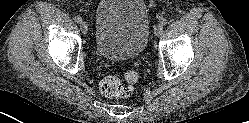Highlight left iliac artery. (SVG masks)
Here are the masks:
<instances>
[{
	"instance_id": "1",
	"label": "left iliac artery",
	"mask_w": 249,
	"mask_h": 123,
	"mask_svg": "<svg viewBox=\"0 0 249 123\" xmlns=\"http://www.w3.org/2000/svg\"><path fill=\"white\" fill-rule=\"evenodd\" d=\"M160 23L164 26V25H166L167 24V19L166 18H162L161 20H160Z\"/></svg>"
}]
</instances>
